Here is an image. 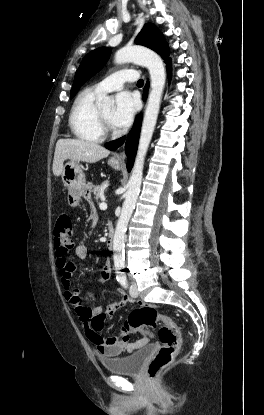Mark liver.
<instances>
[{
	"label": "liver",
	"mask_w": 264,
	"mask_h": 415,
	"mask_svg": "<svg viewBox=\"0 0 264 415\" xmlns=\"http://www.w3.org/2000/svg\"><path fill=\"white\" fill-rule=\"evenodd\" d=\"M109 154L108 149L94 142L80 139H59L54 153L53 174L57 177L62 174L63 163L67 159L95 163Z\"/></svg>",
	"instance_id": "liver-1"
}]
</instances>
